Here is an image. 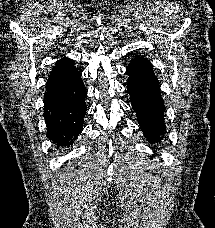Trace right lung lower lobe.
<instances>
[{
  "instance_id": "98d812e1",
  "label": "right lung lower lobe",
  "mask_w": 215,
  "mask_h": 228,
  "mask_svg": "<svg viewBox=\"0 0 215 228\" xmlns=\"http://www.w3.org/2000/svg\"><path fill=\"white\" fill-rule=\"evenodd\" d=\"M59 85L58 90L44 98V118L49 138L57 147L72 145L83 131V118L86 114V90L81 73L74 78L48 79L50 84Z\"/></svg>"
}]
</instances>
